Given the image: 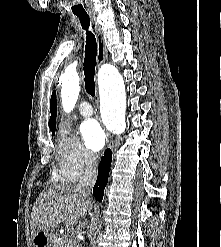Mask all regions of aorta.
I'll return each instance as SVG.
<instances>
[{
  "label": "aorta",
  "mask_w": 221,
  "mask_h": 247,
  "mask_svg": "<svg viewBox=\"0 0 221 247\" xmlns=\"http://www.w3.org/2000/svg\"><path fill=\"white\" fill-rule=\"evenodd\" d=\"M77 72L67 71L60 77L61 101L64 111L70 112L77 102L80 86ZM101 113L106 127L116 133L125 131L126 91L117 68L105 64L99 72Z\"/></svg>",
  "instance_id": "aorta-1"
}]
</instances>
